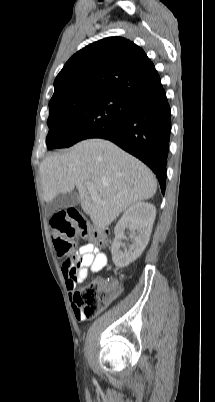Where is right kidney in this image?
I'll return each mask as SVG.
<instances>
[{"label": "right kidney", "mask_w": 215, "mask_h": 402, "mask_svg": "<svg viewBox=\"0 0 215 402\" xmlns=\"http://www.w3.org/2000/svg\"><path fill=\"white\" fill-rule=\"evenodd\" d=\"M155 216V207L146 202H137L124 212L114 229L115 238L111 248L112 260L116 266L127 267L142 254L148 244ZM126 229L131 232L128 249L122 242L126 239Z\"/></svg>", "instance_id": "1"}]
</instances>
